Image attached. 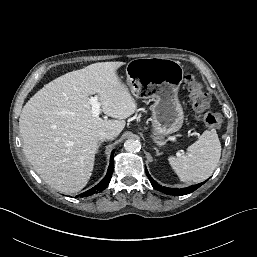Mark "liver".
<instances>
[{"label":"liver","instance_id":"liver-1","mask_svg":"<svg viewBox=\"0 0 257 257\" xmlns=\"http://www.w3.org/2000/svg\"><path fill=\"white\" fill-rule=\"evenodd\" d=\"M124 62H99L66 73L46 84L25 104L19 118L23 152L37 174L52 188L77 193L88 183L97 153L98 134L118 136L125 119L137 110L117 69ZM114 118L94 117L89 96Z\"/></svg>","mask_w":257,"mask_h":257}]
</instances>
